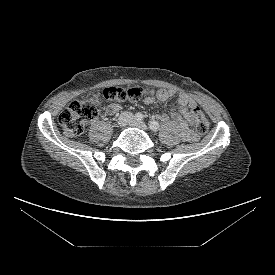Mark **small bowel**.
Here are the masks:
<instances>
[{
    "label": "small bowel",
    "mask_w": 275,
    "mask_h": 275,
    "mask_svg": "<svg viewBox=\"0 0 275 275\" xmlns=\"http://www.w3.org/2000/svg\"><path fill=\"white\" fill-rule=\"evenodd\" d=\"M175 96V91L157 89L152 91L145 101L147 103H153L155 101L165 102ZM195 106L197 105L192 97L187 94H180L171 112V118L179 126L183 140L188 142H194L197 140L196 133L191 129V125L194 123L191 109ZM120 109V104L111 103L107 106L106 111L109 115H115L120 111ZM162 118L164 120L167 119L166 116H163Z\"/></svg>",
    "instance_id": "c3829d8e"
}]
</instances>
